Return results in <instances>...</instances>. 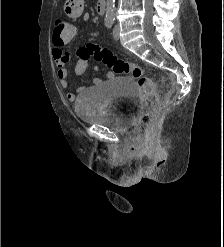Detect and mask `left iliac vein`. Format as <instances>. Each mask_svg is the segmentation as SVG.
I'll list each match as a JSON object with an SVG mask.
<instances>
[{"instance_id": "left-iliac-vein-1", "label": "left iliac vein", "mask_w": 224, "mask_h": 247, "mask_svg": "<svg viewBox=\"0 0 224 247\" xmlns=\"http://www.w3.org/2000/svg\"><path fill=\"white\" fill-rule=\"evenodd\" d=\"M113 37L115 40L119 39V26L118 25H115L113 29Z\"/></svg>"}]
</instances>
